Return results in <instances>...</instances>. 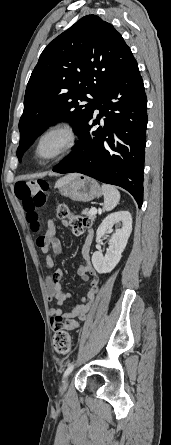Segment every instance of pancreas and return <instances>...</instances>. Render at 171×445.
Listing matches in <instances>:
<instances>
[{
    "instance_id": "cf45deb5",
    "label": "pancreas",
    "mask_w": 171,
    "mask_h": 445,
    "mask_svg": "<svg viewBox=\"0 0 171 445\" xmlns=\"http://www.w3.org/2000/svg\"><path fill=\"white\" fill-rule=\"evenodd\" d=\"M83 214L86 215L92 221L95 219V215L91 214L90 211H88L87 209L83 211Z\"/></svg>"
}]
</instances>
